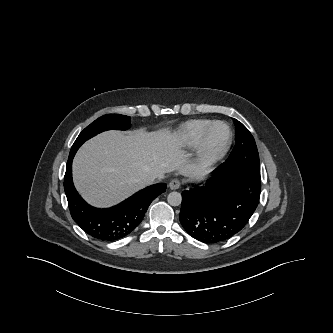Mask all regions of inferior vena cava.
Segmentation results:
<instances>
[{"instance_id":"obj_1","label":"inferior vena cava","mask_w":333,"mask_h":333,"mask_svg":"<svg viewBox=\"0 0 333 333\" xmlns=\"http://www.w3.org/2000/svg\"><path fill=\"white\" fill-rule=\"evenodd\" d=\"M158 178L157 175H147L145 178H144V182L148 185V184H151L153 182H155V180Z\"/></svg>"}]
</instances>
